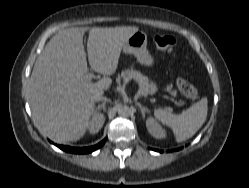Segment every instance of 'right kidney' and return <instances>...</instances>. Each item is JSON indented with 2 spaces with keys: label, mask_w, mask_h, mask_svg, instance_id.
<instances>
[{
  "label": "right kidney",
  "mask_w": 249,
  "mask_h": 188,
  "mask_svg": "<svg viewBox=\"0 0 249 188\" xmlns=\"http://www.w3.org/2000/svg\"><path fill=\"white\" fill-rule=\"evenodd\" d=\"M104 116L98 113H94L92 118L88 122V129L90 134H96L102 128L104 124Z\"/></svg>",
  "instance_id": "ca27d5eb"
}]
</instances>
